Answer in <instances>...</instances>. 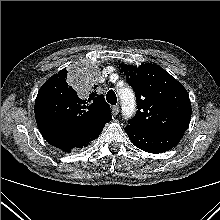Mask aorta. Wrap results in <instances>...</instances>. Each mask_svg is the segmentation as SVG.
Returning a JSON list of instances; mask_svg holds the SVG:
<instances>
[{
	"label": "aorta",
	"mask_w": 220,
	"mask_h": 220,
	"mask_svg": "<svg viewBox=\"0 0 220 220\" xmlns=\"http://www.w3.org/2000/svg\"><path fill=\"white\" fill-rule=\"evenodd\" d=\"M119 96L122 102V115L125 119L131 118L135 113V96L129 88H123L119 91Z\"/></svg>",
	"instance_id": "aorta-1"
}]
</instances>
